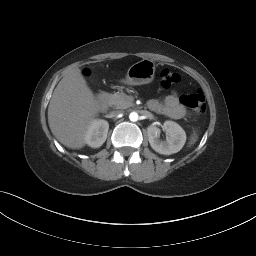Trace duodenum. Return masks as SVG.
I'll return each instance as SVG.
<instances>
[{
    "mask_svg": "<svg viewBox=\"0 0 256 256\" xmlns=\"http://www.w3.org/2000/svg\"><path fill=\"white\" fill-rule=\"evenodd\" d=\"M95 101L98 108H105L108 104V95L104 92L99 93Z\"/></svg>",
    "mask_w": 256,
    "mask_h": 256,
    "instance_id": "obj_1",
    "label": "duodenum"
}]
</instances>
